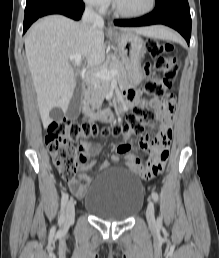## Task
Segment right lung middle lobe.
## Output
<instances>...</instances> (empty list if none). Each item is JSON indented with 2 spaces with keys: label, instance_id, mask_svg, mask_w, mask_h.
<instances>
[{
  "label": "right lung middle lobe",
  "instance_id": "obj_1",
  "mask_svg": "<svg viewBox=\"0 0 219 258\" xmlns=\"http://www.w3.org/2000/svg\"><path fill=\"white\" fill-rule=\"evenodd\" d=\"M39 1H41V0H27L25 9H29L30 7H32L33 5L38 3Z\"/></svg>",
  "mask_w": 219,
  "mask_h": 258
}]
</instances>
